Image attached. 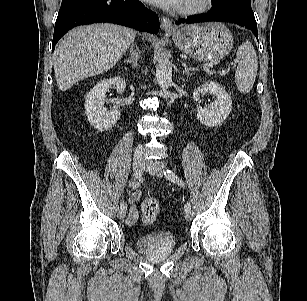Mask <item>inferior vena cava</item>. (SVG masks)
Instances as JSON below:
<instances>
[{
    "label": "inferior vena cava",
    "mask_w": 307,
    "mask_h": 301,
    "mask_svg": "<svg viewBox=\"0 0 307 301\" xmlns=\"http://www.w3.org/2000/svg\"><path fill=\"white\" fill-rule=\"evenodd\" d=\"M142 151H143L142 146L139 145V146L136 148L135 154L139 155V154L142 153Z\"/></svg>",
    "instance_id": "obj_1"
}]
</instances>
